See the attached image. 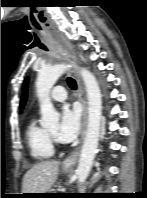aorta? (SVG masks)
Instances as JSON below:
<instances>
[{"instance_id":"obj_1","label":"aorta","mask_w":147,"mask_h":198,"mask_svg":"<svg viewBox=\"0 0 147 198\" xmlns=\"http://www.w3.org/2000/svg\"><path fill=\"white\" fill-rule=\"evenodd\" d=\"M68 68V65L56 64L42 68L38 74L36 91L40 103L42 127H51L59 121V114L50 100L49 93L58 78ZM80 74L85 84L88 99V125L76 173L78 182L84 183L91 171L98 147L102 117V96L94 75L85 68L80 69Z\"/></svg>"}]
</instances>
